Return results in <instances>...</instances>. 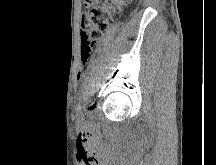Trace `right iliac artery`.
Listing matches in <instances>:
<instances>
[{"label":"right iliac artery","mask_w":216,"mask_h":165,"mask_svg":"<svg viewBox=\"0 0 216 165\" xmlns=\"http://www.w3.org/2000/svg\"><path fill=\"white\" fill-rule=\"evenodd\" d=\"M80 110H81V106H80V105H78V106H77V112L79 113V112H80Z\"/></svg>","instance_id":"obj_1"}]
</instances>
